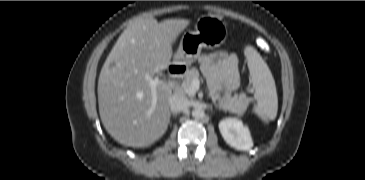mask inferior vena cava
<instances>
[{
	"label": "inferior vena cava",
	"instance_id": "1",
	"mask_svg": "<svg viewBox=\"0 0 365 180\" xmlns=\"http://www.w3.org/2000/svg\"><path fill=\"white\" fill-rule=\"evenodd\" d=\"M169 106L172 112H180L189 106L188 99L181 94L175 93L169 99Z\"/></svg>",
	"mask_w": 365,
	"mask_h": 180
}]
</instances>
